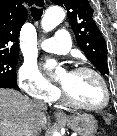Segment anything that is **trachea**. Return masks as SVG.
<instances>
[{"label": "trachea", "instance_id": "obj_1", "mask_svg": "<svg viewBox=\"0 0 117 136\" xmlns=\"http://www.w3.org/2000/svg\"><path fill=\"white\" fill-rule=\"evenodd\" d=\"M37 6H40V4L36 3ZM43 14V9L42 8H36L32 7L31 8V16L33 17L34 20L38 21Z\"/></svg>", "mask_w": 117, "mask_h": 136}]
</instances>
